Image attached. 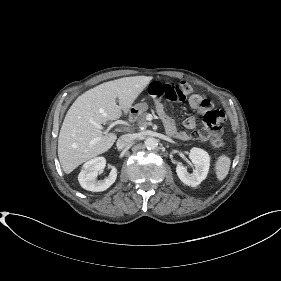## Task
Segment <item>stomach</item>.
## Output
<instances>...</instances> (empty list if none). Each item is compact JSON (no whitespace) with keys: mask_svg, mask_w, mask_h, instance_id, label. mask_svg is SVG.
<instances>
[{"mask_svg":"<svg viewBox=\"0 0 281 281\" xmlns=\"http://www.w3.org/2000/svg\"><path fill=\"white\" fill-rule=\"evenodd\" d=\"M148 109V104L145 102L137 103L135 106L132 107V113L134 115H140L144 113Z\"/></svg>","mask_w":281,"mask_h":281,"instance_id":"1","label":"stomach"}]
</instances>
